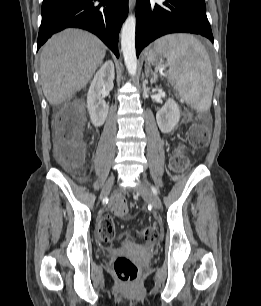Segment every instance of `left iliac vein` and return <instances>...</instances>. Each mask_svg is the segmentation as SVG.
<instances>
[{
    "instance_id": "obj_1",
    "label": "left iliac vein",
    "mask_w": 261,
    "mask_h": 306,
    "mask_svg": "<svg viewBox=\"0 0 261 306\" xmlns=\"http://www.w3.org/2000/svg\"><path fill=\"white\" fill-rule=\"evenodd\" d=\"M135 191L139 193L144 200L151 203L156 209H161L162 203L160 198L151 191L146 182H141L137 185Z\"/></svg>"
}]
</instances>
